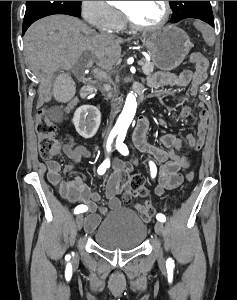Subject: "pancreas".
Returning <instances> with one entry per match:
<instances>
[{"label": "pancreas", "instance_id": "cf45deb5", "mask_svg": "<svg viewBox=\"0 0 237 300\" xmlns=\"http://www.w3.org/2000/svg\"><path fill=\"white\" fill-rule=\"evenodd\" d=\"M142 61L144 62V65L142 67L143 69V73L144 75H151V73H153L154 71V63H150V61H146V59H142ZM103 83H105V85H103V89L104 91H106V89H108L109 85H114L112 79H110L109 75H107V77H104V79H102ZM103 91V93H104Z\"/></svg>", "mask_w": 237, "mask_h": 300}]
</instances>
